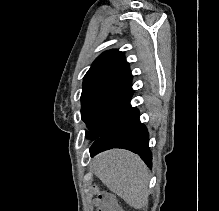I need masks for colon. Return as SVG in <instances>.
<instances>
[{"label": "colon", "mask_w": 219, "mask_h": 211, "mask_svg": "<svg viewBox=\"0 0 219 211\" xmlns=\"http://www.w3.org/2000/svg\"><path fill=\"white\" fill-rule=\"evenodd\" d=\"M96 193H97V196H98L97 201H99V199H100V197L102 196L103 193H100V192H97V191H96Z\"/></svg>", "instance_id": "obj_1"}]
</instances>
